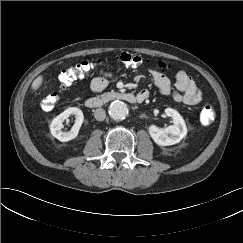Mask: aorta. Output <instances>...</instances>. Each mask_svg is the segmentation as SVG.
Wrapping results in <instances>:
<instances>
[{
    "label": "aorta",
    "instance_id": "obj_1",
    "mask_svg": "<svg viewBox=\"0 0 243 243\" xmlns=\"http://www.w3.org/2000/svg\"><path fill=\"white\" fill-rule=\"evenodd\" d=\"M108 112L112 119L120 121L128 115V107L123 101L115 100L110 104Z\"/></svg>",
    "mask_w": 243,
    "mask_h": 243
}]
</instances>
